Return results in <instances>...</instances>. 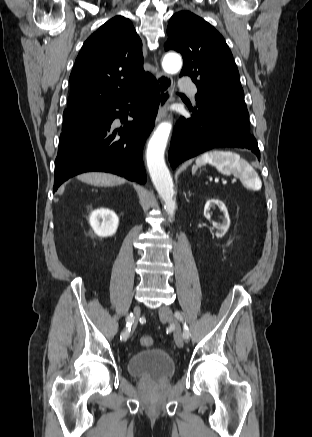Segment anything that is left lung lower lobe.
Listing matches in <instances>:
<instances>
[{
  "instance_id": "0a47b994",
  "label": "left lung lower lobe",
  "mask_w": 312,
  "mask_h": 437,
  "mask_svg": "<svg viewBox=\"0 0 312 437\" xmlns=\"http://www.w3.org/2000/svg\"><path fill=\"white\" fill-rule=\"evenodd\" d=\"M189 119L175 125L169 161L173 169L181 162L215 147L247 149L260 159L258 143L252 134L238 126L226 113L208 106H198Z\"/></svg>"
}]
</instances>
